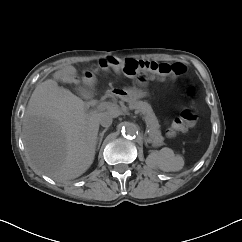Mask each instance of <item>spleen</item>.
Instances as JSON below:
<instances>
[{
    "instance_id": "3e777b00",
    "label": "spleen",
    "mask_w": 242,
    "mask_h": 242,
    "mask_svg": "<svg viewBox=\"0 0 242 242\" xmlns=\"http://www.w3.org/2000/svg\"><path fill=\"white\" fill-rule=\"evenodd\" d=\"M182 160L180 156H175L173 150L163 148L160 151L153 152L149 155L147 162L158 166L163 171H174L177 169L176 161Z\"/></svg>"
}]
</instances>
